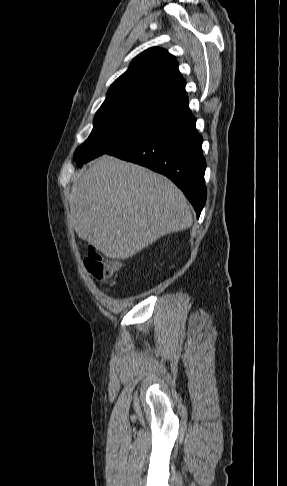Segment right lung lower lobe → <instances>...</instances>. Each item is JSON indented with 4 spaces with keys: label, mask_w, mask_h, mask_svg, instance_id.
I'll return each mask as SVG.
<instances>
[{
    "label": "right lung lower lobe",
    "mask_w": 287,
    "mask_h": 486,
    "mask_svg": "<svg viewBox=\"0 0 287 486\" xmlns=\"http://www.w3.org/2000/svg\"><path fill=\"white\" fill-rule=\"evenodd\" d=\"M195 124L196 119L187 105L107 153L166 175L184 192L199 217L207 196L206 163L203 140Z\"/></svg>",
    "instance_id": "98d812e1"
}]
</instances>
